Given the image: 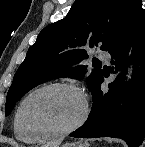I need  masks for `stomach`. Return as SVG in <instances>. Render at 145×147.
I'll list each match as a JSON object with an SVG mask.
<instances>
[{
  "label": "stomach",
  "instance_id": "obj_1",
  "mask_svg": "<svg viewBox=\"0 0 145 147\" xmlns=\"http://www.w3.org/2000/svg\"><path fill=\"white\" fill-rule=\"evenodd\" d=\"M87 144L83 141L73 142V143H66L62 147H87Z\"/></svg>",
  "mask_w": 145,
  "mask_h": 147
}]
</instances>
